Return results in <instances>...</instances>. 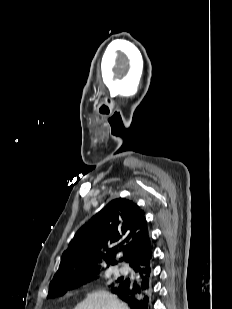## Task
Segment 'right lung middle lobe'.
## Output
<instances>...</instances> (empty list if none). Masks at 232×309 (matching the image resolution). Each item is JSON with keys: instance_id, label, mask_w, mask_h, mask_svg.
<instances>
[{"instance_id": "right-lung-middle-lobe-1", "label": "right lung middle lobe", "mask_w": 232, "mask_h": 309, "mask_svg": "<svg viewBox=\"0 0 232 309\" xmlns=\"http://www.w3.org/2000/svg\"><path fill=\"white\" fill-rule=\"evenodd\" d=\"M99 273H100V271L78 277L77 279L68 280V281H60V282L54 283L52 285V287H49L48 296L49 297H55L59 294L62 296L64 293L67 292V290H70V289H72L76 286H79V285L86 284V283L96 279ZM121 279L122 278L118 279L116 281V283L118 284Z\"/></svg>"}]
</instances>
